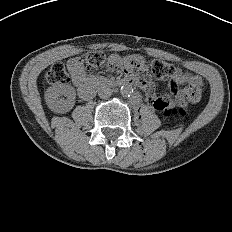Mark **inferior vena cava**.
<instances>
[{
  "instance_id": "obj_1",
  "label": "inferior vena cava",
  "mask_w": 232,
  "mask_h": 232,
  "mask_svg": "<svg viewBox=\"0 0 232 232\" xmlns=\"http://www.w3.org/2000/svg\"><path fill=\"white\" fill-rule=\"evenodd\" d=\"M112 89L107 86H101L98 90V96L100 98H108L112 95Z\"/></svg>"
}]
</instances>
